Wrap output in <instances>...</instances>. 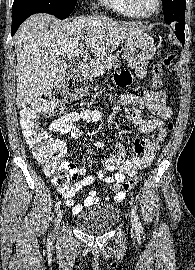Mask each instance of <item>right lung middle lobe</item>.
<instances>
[{
  "label": "right lung middle lobe",
  "mask_w": 195,
  "mask_h": 270,
  "mask_svg": "<svg viewBox=\"0 0 195 270\" xmlns=\"http://www.w3.org/2000/svg\"><path fill=\"white\" fill-rule=\"evenodd\" d=\"M77 0H14V3H29L40 6L46 13L59 19L67 18L75 8Z\"/></svg>",
  "instance_id": "right-lung-middle-lobe-1"
}]
</instances>
